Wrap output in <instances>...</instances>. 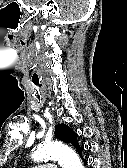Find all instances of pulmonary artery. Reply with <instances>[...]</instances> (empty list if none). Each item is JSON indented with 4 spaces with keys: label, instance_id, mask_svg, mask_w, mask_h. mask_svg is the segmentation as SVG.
Masks as SVG:
<instances>
[{
    "label": "pulmonary artery",
    "instance_id": "1",
    "mask_svg": "<svg viewBox=\"0 0 127 168\" xmlns=\"http://www.w3.org/2000/svg\"><path fill=\"white\" fill-rule=\"evenodd\" d=\"M32 168H57V167L54 164L47 163V164L37 165Z\"/></svg>",
    "mask_w": 127,
    "mask_h": 168
}]
</instances>
